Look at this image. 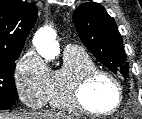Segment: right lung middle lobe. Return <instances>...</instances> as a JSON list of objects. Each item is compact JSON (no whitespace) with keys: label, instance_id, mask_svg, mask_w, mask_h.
<instances>
[{"label":"right lung middle lobe","instance_id":"right-lung-middle-lobe-1","mask_svg":"<svg viewBox=\"0 0 142 119\" xmlns=\"http://www.w3.org/2000/svg\"><path fill=\"white\" fill-rule=\"evenodd\" d=\"M19 55L20 53L0 55V103L14 104L18 99L14 70Z\"/></svg>","mask_w":142,"mask_h":119}]
</instances>
